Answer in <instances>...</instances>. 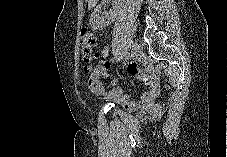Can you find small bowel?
<instances>
[{
  "mask_svg": "<svg viewBox=\"0 0 227 157\" xmlns=\"http://www.w3.org/2000/svg\"><path fill=\"white\" fill-rule=\"evenodd\" d=\"M108 53L109 49L106 47L103 51V54L104 56H108ZM109 68L110 63L106 60L101 61V63L96 67L88 83L89 89L92 93L102 94L104 92L101 77L107 75ZM128 73L136 76L140 81L147 85L148 89L143 94L141 99L139 101L131 100L126 94L125 90L120 87L112 89L108 94L109 98L118 102L129 111H134L139 108L152 105L158 96V84L155 72L144 71L140 69L136 62H131L128 65Z\"/></svg>",
  "mask_w": 227,
  "mask_h": 157,
  "instance_id": "c3829d8e",
  "label": "small bowel"
}]
</instances>
